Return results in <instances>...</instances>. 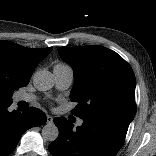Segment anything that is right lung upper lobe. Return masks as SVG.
<instances>
[{"mask_svg": "<svg viewBox=\"0 0 156 156\" xmlns=\"http://www.w3.org/2000/svg\"><path fill=\"white\" fill-rule=\"evenodd\" d=\"M52 50L25 48L10 41H0V102L1 96L25 87L36 66Z\"/></svg>", "mask_w": 156, "mask_h": 156, "instance_id": "right-lung-upper-lobe-1", "label": "right lung upper lobe"}]
</instances>
